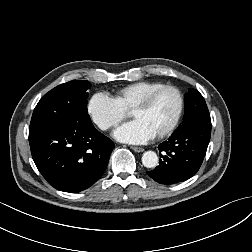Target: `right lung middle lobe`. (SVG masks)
I'll list each match as a JSON object with an SVG mask.
<instances>
[{
  "mask_svg": "<svg viewBox=\"0 0 252 252\" xmlns=\"http://www.w3.org/2000/svg\"><path fill=\"white\" fill-rule=\"evenodd\" d=\"M90 86L86 80H76L50 90L36 105L30 127L60 121L92 124L87 111Z\"/></svg>",
  "mask_w": 252,
  "mask_h": 252,
  "instance_id": "right-lung-middle-lobe-1",
  "label": "right lung middle lobe"
}]
</instances>
